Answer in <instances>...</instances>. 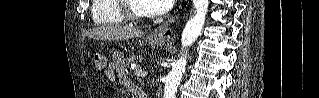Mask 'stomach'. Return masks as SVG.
I'll return each instance as SVG.
<instances>
[{"instance_id":"0dacf381","label":"stomach","mask_w":319,"mask_h":98,"mask_svg":"<svg viewBox=\"0 0 319 98\" xmlns=\"http://www.w3.org/2000/svg\"><path fill=\"white\" fill-rule=\"evenodd\" d=\"M152 43L156 46H159V47L165 45V41L163 39H154V40H152ZM108 76H109V78L113 79L114 78L113 72H108Z\"/></svg>"}]
</instances>
